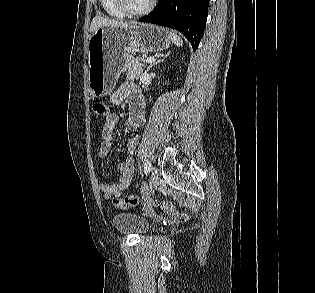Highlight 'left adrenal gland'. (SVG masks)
Wrapping results in <instances>:
<instances>
[{
	"mask_svg": "<svg viewBox=\"0 0 315 293\" xmlns=\"http://www.w3.org/2000/svg\"><path fill=\"white\" fill-rule=\"evenodd\" d=\"M168 55H169V53H168L167 55H164V56H163V59H164L165 57H167ZM160 61H161V59H158L156 62L150 64V65L148 66V68H147L146 71H150V70L152 69V67L155 66V65H157L158 63H160Z\"/></svg>",
	"mask_w": 315,
	"mask_h": 293,
	"instance_id": "left-adrenal-gland-1",
	"label": "left adrenal gland"
}]
</instances>
